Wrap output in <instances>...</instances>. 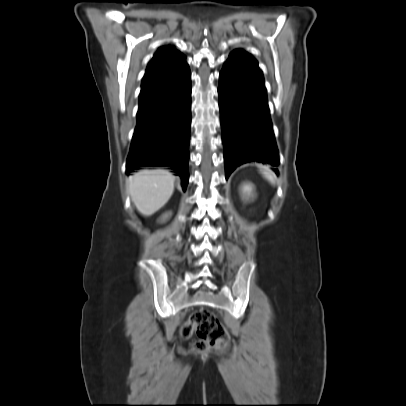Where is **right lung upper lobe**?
I'll return each instance as SVG.
<instances>
[{"label": "right lung upper lobe", "instance_id": "cb5924a9", "mask_svg": "<svg viewBox=\"0 0 406 406\" xmlns=\"http://www.w3.org/2000/svg\"><path fill=\"white\" fill-rule=\"evenodd\" d=\"M187 66L185 56L170 46H164L151 59L143 77L141 91L155 87Z\"/></svg>", "mask_w": 406, "mask_h": 406}]
</instances>
